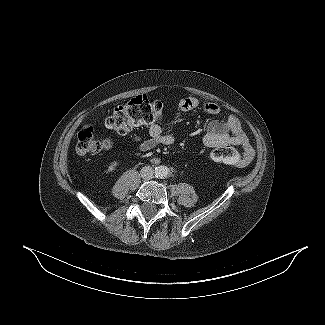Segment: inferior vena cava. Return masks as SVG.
<instances>
[{"mask_svg": "<svg viewBox=\"0 0 325 325\" xmlns=\"http://www.w3.org/2000/svg\"><path fill=\"white\" fill-rule=\"evenodd\" d=\"M154 173H155L154 169L151 166H144L140 171L141 177L144 180L152 179L154 176Z\"/></svg>", "mask_w": 325, "mask_h": 325, "instance_id": "602c4592", "label": "inferior vena cava"}]
</instances>
